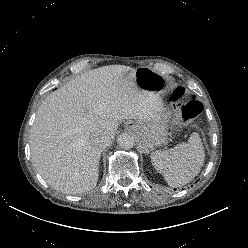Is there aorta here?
<instances>
[{"label": "aorta", "instance_id": "obj_1", "mask_svg": "<svg viewBox=\"0 0 248 248\" xmlns=\"http://www.w3.org/2000/svg\"><path fill=\"white\" fill-rule=\"evenodd\" d=\"M135 143L134 137L128 133H122L118 136L117 144L121 149L129 150Z\"/></svg>", "mask_w": 248, "mask_h": 248}]
</instances>
